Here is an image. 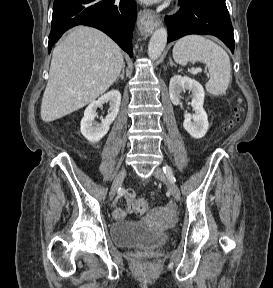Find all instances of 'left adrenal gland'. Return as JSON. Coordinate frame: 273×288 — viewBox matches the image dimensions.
I'll return each mask as SVG.
<instances>
[{
  "mask_svg": "<svg viewBox=\"0 0 273 288\" xmlns=\"http://www.w3.org/2000/svg\"><path fill=\"white\" fill-rule=\"evenodd\" d=\"M169 60H170L169 65L174 66L175 64L173 63L172 59L170 58Z\"/></svg>",
  "mask_w": 273,
  "mask_h": 288,
  "instance_id": "a2214340",
  "label": "left adrenal gland"
}]
</instances>
